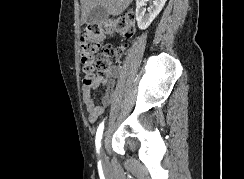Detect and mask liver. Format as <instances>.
<instances>
[{
  "label": "liver",
  "instance_id": "6515ba94",
  "mask_svg": "<svg viewBox=\"0 0 244 179\" xmlns=\"http://www.w3.org/2000/svg\"><path fill=\"white\" fill-rule=\"evenodd\" d=\"M80 2L82 4V22H86L95 6H103L110 16H119L128 8L132 0H80Z\"/></svg>",
  "mask_w": 244,
  "mask_h": 179
}]
</instances>
